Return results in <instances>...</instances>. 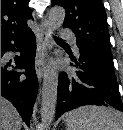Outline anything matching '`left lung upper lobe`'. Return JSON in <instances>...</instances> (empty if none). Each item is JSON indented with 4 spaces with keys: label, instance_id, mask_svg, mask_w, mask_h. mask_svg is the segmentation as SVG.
Segmentation results:
<instances>
[{
    "label": "left lung upper lobe",
    "instance_id": "5c2ea615",
    "mask_svg": "<svg viewBox=\"0 0 123 130\" xmlns=\"http://www.w3.org/2000/svg\"><path fill=\"white\" fill-rule=\"evenodd\" d=\"M66 11L64 27L75 33L79 50L112 58L107 17L101 0H52Z\"/></svg>",
    "mask_w": 123,
    "mask_h": 130
}]
</instances>
